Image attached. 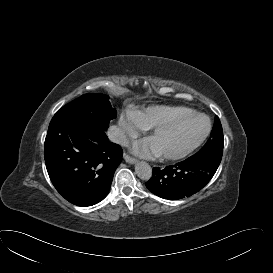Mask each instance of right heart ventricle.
Listing matches in <instances>:
<instances>
[{"label": "right heart ventricle", "mask_w": 273, "mask_h": 273, "mask_svg": "<svg viewBox=\"0 0 273 273\" xmlns=\"http://www.w3.org/2000/svg\"><path fill=\"white\" fill-rule=\"evenodd\" d=\"M189 111L188 108L182 106H157L146 112H135L134 120L141 127L150 128L168 123Z\"/></svg>", "instance_id": "1"}]
</instances>
